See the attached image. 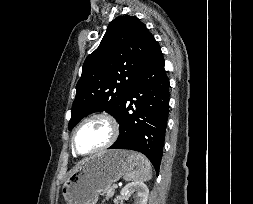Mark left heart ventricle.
Listing matches in <instances>:
<instances>
[{"instance_id":"1","label":"left heart ventricle","mask_w":253,"mask_h":204,"mask_svg":"<svg viewBox=\"0 0 253 204\" xmlns=\"http://www.w3.org/2000/svg\"><path fill=\"white\" fill-rule=\"evenodd\" d=\"M111 135L109 124L102 119H94L84 124L77 132L76 147L82 152H89L105 144Z\"/></svg>"}]
</instances>
